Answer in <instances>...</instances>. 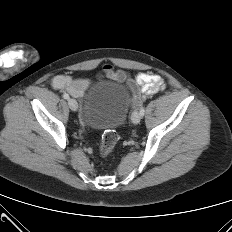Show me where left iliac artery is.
<instances>
[{"mask_svg": "<svg viewBox=\"0 0 232 232\" xmlns=\"http://www.w3.org/2000/svg\"><path fill=\"white\" fill-rule=\"evenodd\" d=\"M140 114H141V116H144V114H145V107H142L140 109Z\"/></svg>", "mask_w": 232, "mask_h": 232, "instance_id": "44dca946", "label": "left iliac artery"}]
</instances>
